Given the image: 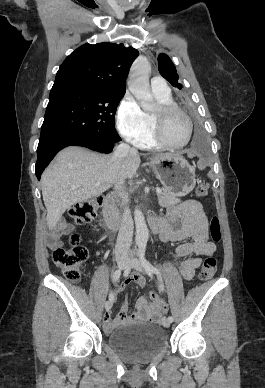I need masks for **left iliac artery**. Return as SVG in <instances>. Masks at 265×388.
Segmentation results:
<instances>
[{"mask_svg":"<svg viewBox=\"0 0 265 388\" xmlns=\"http://www.w3.org/2000/svg\"><path fill=\"white\" fill-rule=\"evenodd\" d=\"M145 249H146L145 245H141L140 246V249H139L140 260H141L145 270L148 273L156 274V276L158 277V279L160 281V290L164 291V284H163V280H162L161 271H160V269H158L157 267L153 266L149 261L146 260V258H145ZM168 320L172 323L173 322V317L169 316Z\"/></svg>","mask_w":265,"mask_h":388,"instance_id":"44dca946","label":"left iliac artery"}]
</instances>
